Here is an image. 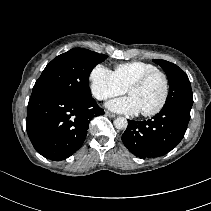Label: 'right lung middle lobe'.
<instances>
[{
    "instance_id": "obj_1",
    "label": "right lung middle lobe",
    "mask_w": 211,
    "mask_h": 211,
    "mask_svg": "<svg viewBox=\"0 0 211 211\" xmlns=\"http://www.w3.org/2000/svg\"><path fill=\"white\" fill-rule=\"evenodd\" d=\"M107 55L74 48L54 58L36 81L32 94L52 93L77 100L92 98L89 75Z\"/></svg>"
}]
</instances>
